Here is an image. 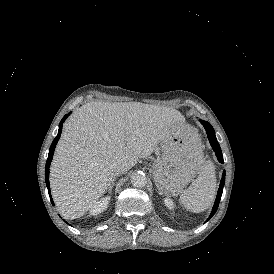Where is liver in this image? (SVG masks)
Wrapping results in <instances>:
<instances>
[{
	"label": "liver",
	"instance_id": "liver-1",
	"mask_svg": "<svg viewBox=\"0 0 274 274\" xmlns=\"http://www.w3.org/2000/svg\"><path fill=\"white\" fill-rule=\"evenodd\" d=\"M185 125L176 109L140 102H89L66 121L50 167L53 200L66 219L83 216L111 185ZM186 130L183 131V133Z\"/></svg>",
	"mask_w": 274,
	"mask_h": 274
}]
</instances>
